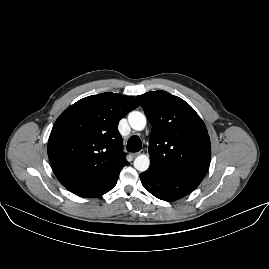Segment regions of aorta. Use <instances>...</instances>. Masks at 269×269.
I'll return each instance as SVG.
<instances>
[{
	"instance_id": "obj_1",
	"label": "aorta",
	"mask_w": 269,
	"mask_h": 269,
	"mask_svg": "<svg viewBox=\"0 0 269 269\" xmlns=\"http://www.w3.org/2000/svg\"><path fill=\"white\" fill-rule=\"evenodd\" d=\"M128 121L131 128L135 131H144L147 126V119L146 116L141 112H131L128 116ZM150 156L148 154H140L134 160V167L144 172L150 166Z\"/></svg>"
}]
</instances>
